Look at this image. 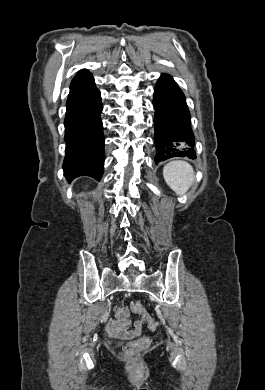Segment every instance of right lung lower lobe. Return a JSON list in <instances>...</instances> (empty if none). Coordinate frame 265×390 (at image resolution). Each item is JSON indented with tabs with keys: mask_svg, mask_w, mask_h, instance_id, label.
<instances>
[{
	"mask_svg": "<svg viewBox=\"0 0 265 390\" xmlns=\"http://www.w3.org/2000/svg\"><path fill=\"white\" fill-rule=\"evenodd\" d=\"M100 91L88 70L73 78L64 120L66 155L64 175L68 179L90 176L100 180L104 166V136L100 118Z\"/></svg>",
	"mask_w": 265,
	"mask_h": 390,
	"instance_id": "obj_1",
	"label": "right lung lower lobe"
}]
</instances>
